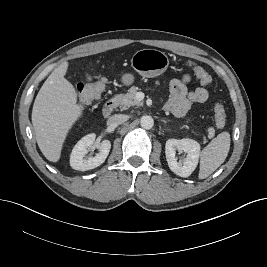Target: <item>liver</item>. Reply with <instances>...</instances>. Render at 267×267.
I'll list each match as a JSON object with an SVG mask.
<instances>
[{
	"mask_svg": "<svg viewBox=\"0 0 267 267\" xmlns=\"http://www.w3.org/2000/svg\"><path fill=\"white\" fill-rule=\"evenodd\" d=\"M69 63L59 65L39 90L32 109L37 144L51 162L60 159L69 130L82 116L74 86L65 78Z\"/></svg>",
	"mask_w": 267,
	"mask_h": 267,
	"instance_id": "liver-1",
	"label": "liver"
}]
</instances>
